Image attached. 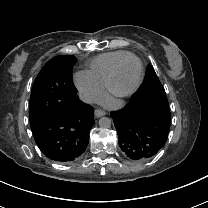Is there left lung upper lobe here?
Instances as JSON below:
<instances>
[{
    "label": "left lung upper lobe",
    "mask_w": 208,
    "mask_h": 208,
    "mask_svg": "<svg viewBox=\"0 0 208 208\" xmlns=\"http://www.w3.org/2000/svg\"><path fill=\"white\" fill-rule=\"evenodd\" d=\"M130 100L156 104L169 110L165 90L160 83L152 65H149L148 67L145 84L138 92L131 96Z\"/></svg>",
    "instance_id": "left-lung-upper-lobe-1"
}]
</instances>
